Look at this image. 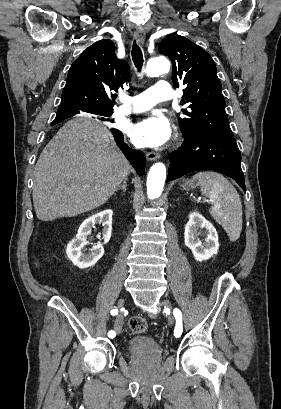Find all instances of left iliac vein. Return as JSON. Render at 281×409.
I'll list each match as a JSON object with an SVG mask.
<instances>
[{
  "instance_id": "1",
  "label": "left iliac vein",
  "mask_w": 281,
  "mask_h": 409,
  "mask_svg": "<svg viewBox=\"0 0 281 409\" xmlns=\"http://www.w3.org/2000/svg\"><path fill=\"white\" fill-rule=\"evenodd\" d=\"M161 305L164 307L165 311L169 314V316H168V322H169V325L172 326L173 323H174V317H173V315L170 313V310L172 309L171 303L169 302V300H162V301H161Z\"/></svg>"
}]
</instances>
